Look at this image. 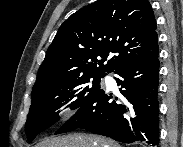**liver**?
Here are the masks:
<instances>
[{
	"instance_id": "6515ba94",
	"label": "liver",
	"mask_w": 183,
	"mask_h": 147,
	"mask_svg": "<svg viewBox=\"0 0 183 147\" xmlns=\"http://www.w3.org/2000/svg\"><path fill=\"white\" fill-rule=\"evenodd\" d=\"M36 147H119V144L99 136L74 134L45 139Z\"/></svg>"
}]
</instances>
